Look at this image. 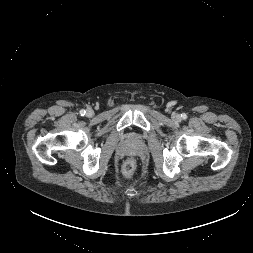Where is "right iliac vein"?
I'll use <instances>...</instances> for the list:
<instances>
[{
    "label": "right iliac vein",
    "mask_w": 253,
    "mask_h": 253,
    "mask_svg": "<svg viewBox=\"0 0 253 253\" xmlns=\"http://www.w3.org/2000/svg\"><path fill=\"white\" fill-rule=\"evenodd\" d=\"M93 115V111L92 110H88L87 111V116H92Z\"/></svg>",
    "instance_id": "obj_1"
}]
</instances>
